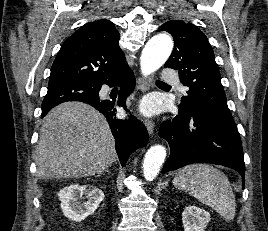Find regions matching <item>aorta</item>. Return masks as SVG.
<instances>
[{"label":"aorta","mask_w":268,"mask_h":231,"mask_svg":"<svg viewBox=\"0 0 268 231\" xmlns=\"http://www.w3.org/2000/svg\"><path fill=\"white\" fill-rule=\"evenodd\" d=\"M173 49V41L167 34L153 36L145 45L140 66L144 76H148L159 69L169 58ZM166 158V148L154 145L148 149L143 161V173L147 181H152L158 175Z\"/></svg>","instance_id":"1"}]
</instances>
